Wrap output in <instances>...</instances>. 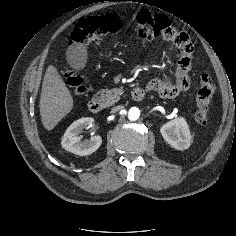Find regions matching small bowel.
Wrapping results in <instances>:
<instances>
[{
  "mask_svg": "<svg viewBox=\"0 0 236 236\" xmlns=\"http://www.w3.org/2000/svg\"><path fill=\"white\" fill-rule=\"evenodd\" d=\"M181 34L183 38L178 43H174L181 51V57L174 76L153 79L146 86L148 90L157 92L163 97H172L182 92L177 88L178 82L186 81L188 83L183 91L189 87V72L193 61V47L190 39L185 34Z\"/></svg>",
  "mask_w": 236,
  "mask_h": 236,
  "instance_id": "1",
  "label": "small bowel"
}]
</instances>
